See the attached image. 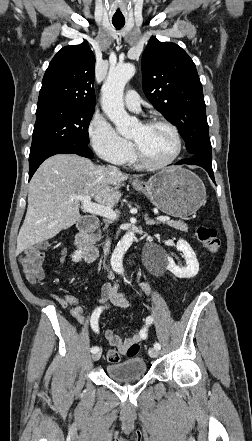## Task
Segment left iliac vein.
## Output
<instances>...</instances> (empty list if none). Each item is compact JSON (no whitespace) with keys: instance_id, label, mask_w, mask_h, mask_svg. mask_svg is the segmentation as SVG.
<instances>
[{"instance_id":"1","label":"left iliac vein","mask_w":252,"mask_h":441,"mask_svg":"<svg viewBox=\"0 0 252 441\" xmlns=\"http://www.w3.org/2000/svg\"><path fill=\"white\" fill-rule=\"evenodd\" d=\"M149 355L152 358H156L159 355V351L155 348H151V349H149Z\"/></svg>"}]
</instances>
